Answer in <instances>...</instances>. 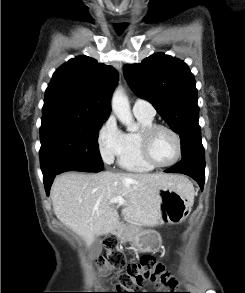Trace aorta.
Wrapping results in <instances>:
<instances>
[{
	"label": "aorta",
	"mask_w": 245,
	"mask_h": 293,
	"mask_svg": "<svg viewBox=\"0 0 245 293\" xmlns=\"http://www.w3.org/2000/svg\"><path fill=\"white\" fill-rule=\"evenodd\" d=\"M111 107L118 120L127 127L128 131H135L137 126L134 123L128 97L124 91L117 88L112 96Z\"/></svg>",
	"instance_id": "762f6f07"
}]
</instances>
